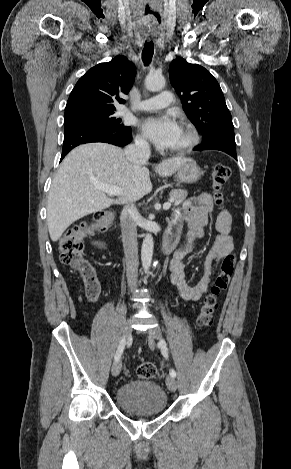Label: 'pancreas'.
Masks as SVG:
<instances>
[{"mask_svg": "<svg viewBox=\"0 0 291 469\" xmlns=\"http://www.w3.org/2000/svg\"><path fill=\"white\" fill-rule=\"evenodd\" d=\"M170 198H172L174 201V205H179L181 204L187 197V191L184 189H174L170 192Z\"/></svg>", "mask_w": 291, "mask_h": 469, "instance_id": "cf45deb5", "label": "pancreas"}]
</instances>
